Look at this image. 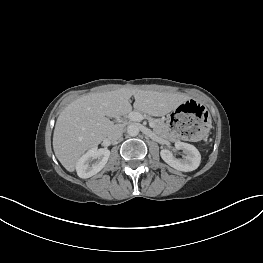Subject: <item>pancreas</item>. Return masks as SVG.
<instances>
[{"label": "pancreas", "instance_id": "pancreas-1", "mask_svg": "<svg viewBox=\"0 0 263 263\" xmlns=\"http://www.w3.org/2000/svg\"><path fill=\"white\" fill-rule=\"evenodd\" d=\"M139 113H141V112H139ZM142 115L145 118H147L148 120H151L154 122L153 130L157 135H159L162 138L172 139L170 129H169L168 125L164 123V121H162L160 119H153V118L147 116L146 114H142Z\"/></svg>", "mask_w": 263, "mask_h": 263}]
</instances>
